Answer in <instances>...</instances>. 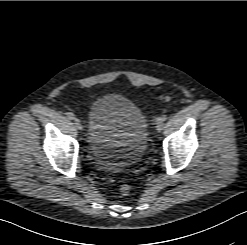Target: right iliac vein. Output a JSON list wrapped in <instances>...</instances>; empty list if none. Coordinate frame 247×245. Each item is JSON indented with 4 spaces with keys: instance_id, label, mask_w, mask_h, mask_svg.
<instances>
[{
    "instance_id": "right-iliac-vein-1",
    "label": "right iliac vein",
    "mask_w": 247,
    "mask_h": 245,
    "mask_svg": "<svg viewBox=\"0 0 247 245\" xmlns=\"http://www.w3.org/2000/svg\"><path fill=\"white\" fill-rule=\"evenodd\" d=\"M75 126L78 130H82V124L81 121L79 119H75Z\"/></svg>"
}]
</instances>
